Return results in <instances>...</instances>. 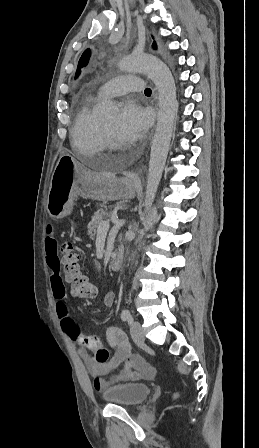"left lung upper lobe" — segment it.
<instances>
[{"label":"left lung upper lobe","instance_id":"left-lung-upper-lobe-1","mask_svg":"<svg viewBox=\"0 0 259 448\" xmlns=\"http://www.w3.org/2000/svg\"><path fill=\"white\" fill-rule=\"evenodd\" d=\"M153 46H154V48H156V44H155V42H154V44H153ZM90 50L89 49H87L83 54H82V56H81V58H80V60H79V63H78V69H77V72H76V77L80 74V68H82V67H84V66H86L87 65V63H88V61H89V57H90Z\"/></svg>","mask_w":259,"mask_h":448}]
</instances>
